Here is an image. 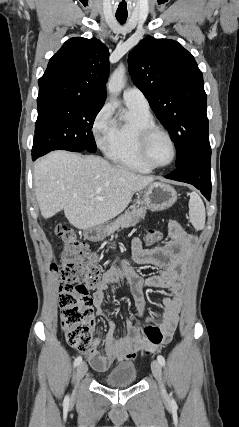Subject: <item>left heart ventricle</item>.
I'll list each match as a JSON object with an SVG mask.
<instances>
[{
  "mask_svg": "<svg viewBox=\"0 0 239 427\" xmlns=\"http://www.w3.org/2000/svg\"><path fill=\"white\" fill-rule=\"evenodd\" d=\"M148 154L155 164H166L172 156V148L168 139L162 134L155 135L150 143Z\"/></svg>",
  "mask_w": 239,
  "mask_h": 427,
  "instance_id": "left-heart-ventricle-1",
  "label": "left heart ventricle"
}]
</instances>
